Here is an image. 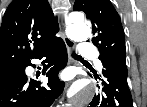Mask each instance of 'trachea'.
I'll use <instances>...</instances> for the list:
<instances>
[{
  "label": "trachea",
  "instance_id": "1",
  "mask_svg": "<svg viewBox=\"0 0 147 107\" xmlns=\"http://www.w3.org/2000/svg\"><path fill=\"white\" fill-rule=\"evenodd\" d=\"M72 56H73L74 58H76V59H82L81 56H79V55H77V54H75V53H72Z\"/></svg>",
  "mask_w": 147,
  "mask_h": 107
}]
</instances>
